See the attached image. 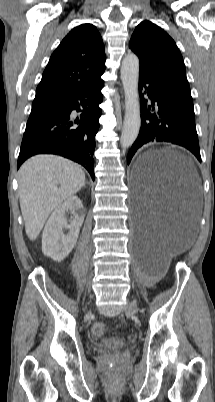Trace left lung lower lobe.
<instances>
[{
  "mask_svg": "<svg viewBox=\"0 0 215 402\" xmlns=\"http://www.w3.org/2000/svg\"><path fill=\"white\" fill-rule=\"evenodd\" d=\"M143 89L149 96L151 105H147L144 97L140 98L141 128L129 150L127 164L130 163L137 149L154 141L171 142L183 146L201 162L193 102L177 96L154 78L139 73L140 94Z\"/></svg>",
  "mask_w": 215,
  "mask_h": 402,
  "instance_id": "1",
  "label": "left lung lower lobe"
}]
</instances>
